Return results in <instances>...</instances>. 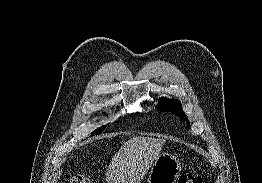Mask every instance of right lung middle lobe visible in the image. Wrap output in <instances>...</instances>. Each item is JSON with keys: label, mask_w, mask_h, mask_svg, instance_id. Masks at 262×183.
I'll return each instance as SVG.
<instances>
[{"label": "right lung middle lobe", "mask_w": 262, "mask_h": 183, "mask_svg": "<svg viewBox=\"0 0 262 183\" xmlns=\"http://www.w3.org/2000/svg\"><path fill=\"white\" fill-rule=\"evenodd\" d=\"M104 129H105V126L100 127L97 130H95L94 132H92V134H100Z\"/></svg>", "instance_id": "1"}]
</instances>
